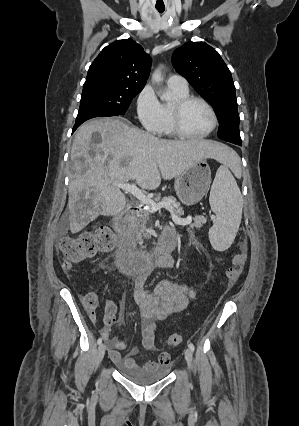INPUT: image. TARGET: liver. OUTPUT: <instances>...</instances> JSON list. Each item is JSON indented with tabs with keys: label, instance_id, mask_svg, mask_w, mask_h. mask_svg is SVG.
Listing matches in <instances>:
<instances>
[{
	"label": "liver",
	"instance_id": "liver-1",
	"mask_svg": "<svg viewBox=\"0 0 299 426\" xmlns=\"http://www.w3.org/2000/svg\"><path fill=\"white\" fill-rule=\"evenodd\" d=\"M95 132L99 141L92 138ZM232 156L229 147L216 141L159 139L114 118L86 122L71 148L70 230L77 233L99 215L124 209L125 195L115 183L135 180L142 189L155 190L162 178L171 180L204 158L228 162Z\"/></svg>",
	"mask_w": 299,
	"mask_h": 426
}]
</instances>
